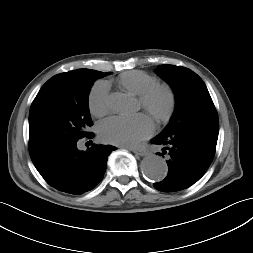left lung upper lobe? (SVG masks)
<instances>
[{
  "label": "left lung upper lobe",
  "instance_id": "5c2ea615",
  "mask_svg": "<svg viewBox=\"0 0 253 253\" xmlns=\"http://www.w3.org/2000/svg\"><path fill=\"white\" fill-rule=\"evenodd\" d=\"M156 72L172 86L176 97L175 113L159 135H169L207 123L219 127L213 101L205 83L196 73L172 65H161Z\"/></svg>",
  "mask_w": 253,
  "mask_h": 253
}]
</instances>
